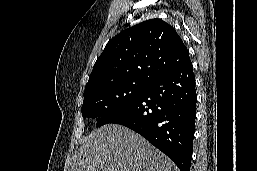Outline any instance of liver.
Wrapping results in <instances>:
<instances>
[{
    "label": "liver",
    "instance_id": "6515ba94",
    "mask_svg": "<svg viewBox=\"0 0 257 171\" xmlns=\"http://www.w3.org/2000/svg\"><path fill=\"white\" fill-rule=\"evenodd\" d=\"M71 171H177L173 162L145 138L108 124L83 138Z\"/></svg>",
    "mask_w": 257,
    "mask_h": 171
}]
</instances>
